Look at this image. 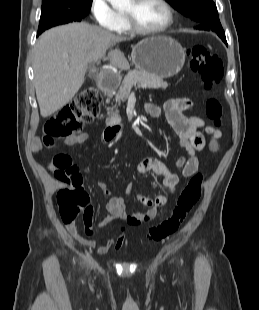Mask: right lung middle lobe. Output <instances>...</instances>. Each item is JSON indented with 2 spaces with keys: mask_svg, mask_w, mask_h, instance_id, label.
I'll return each mask as SVG.
<instances>
[{
  "mask_svg": "<svg viewBox=\"0 0 259 310\" xmlns=\"http://www.w3.org/2000/svg\"><path fill=\"white\" fill-rule=\"evenodd\" d=\"M91 4L92 0L42 1L37 34L57 25L81 21L89 13Z\"/></svg>",
  "mask_w": 259,
  "mask_h": 310,
  "instance_id": "dd1d6c3e",
  "label": "right lung middle lobe"
}]
</instances>
